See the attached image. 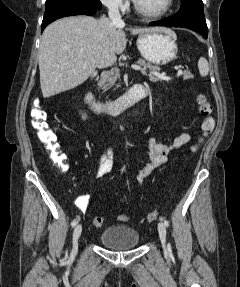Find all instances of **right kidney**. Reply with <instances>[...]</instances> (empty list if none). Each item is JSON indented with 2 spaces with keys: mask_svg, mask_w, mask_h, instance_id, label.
Masks as SVG:
<instances>
[{
  "mask_svg": "<svg viewBox=\"0 0 240 287\" xmlns=\"http://www.w3.org/2000/svg\"><path fill=\"white\" fill-rule=\"evenodd\" d=\"M82 118H83V119H85V118H86V116H85V115H83V116H82Z\"/></svg>",
  "mask_w": 240,
  "mask_h": 287,
  "instance_id": "obj_1",
  "label": "right kidney"
}]
</instances>
